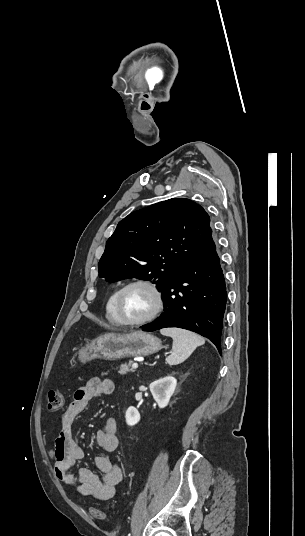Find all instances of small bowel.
Listing matches in <instances>:
<instances>
[{"instance_id": "small-bowel-1", "label": "small bowel", "mask_w": 305, "mask_h": 536, "mask_svg": "<svg viewBox=\"0 0 305 536\" xmlns=\"http://www.w3.org/2000/svg\"><path fill=\"white\" fill-rule=\"evenodd\" d=\"M114 391V384L109 379L94 377L89 379L74 393V399L62 414L60 429L50 449V457L55 464L56 477L66 486L74 488L80 495L95 500L107 501L114 497L117 486L123 479L120 466L108 455L96 457L95 464L102 473L99 478L88 469L73 473L72 468L83 455V449L75 439L73 426L76 418L89 402L99 396L109 395ZM96 444L106 453L114 452L118 447L117 421L109 417L104 421L103 429L96 432Z\"/></svg>"}]
</instances>
